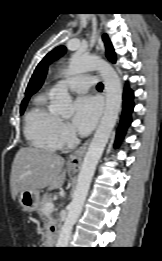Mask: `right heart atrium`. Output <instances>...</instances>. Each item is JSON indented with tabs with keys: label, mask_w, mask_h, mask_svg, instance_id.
I'll return each instance as SVG.
<instances>
[{
	"label": "right heart atrium",
	"mask_w": 162,
	"mask_h": 261,
	"mask_svg": "<svg viewBox=\"0 0 162 261\" xmlns=\"http://www.w3.org/2000/svg\"><path fill=\"white\" fill-rule=\"evenodd\" d=\"M56 138L58 146L64 147L75 140V135L66 122L59 120L56 125Z\"/></svg>",
	"instance_id": "right-heart-atrium-1"
}]
</instances>
